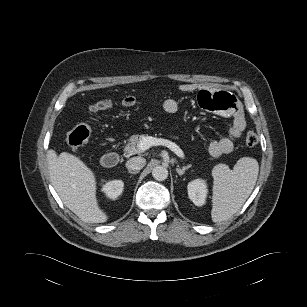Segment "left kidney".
Masks as SVG:
<instances>
[{
  "instance_id": "1",
  "label": "left kidney",
  "mask_w": 307,
  "mask_h": 307,
  "mask_svg": "<svg viewBox=\"0 0 307 307\" xmlns=\"http://www.w3.org/2000/svg\"><path fill=\"white\" fill-rule=\"evenodd\" d=\"M207 192V184L203 179H195L188 184V196L196 206L205 203Z\"/></svg>"
}]
</instances>
